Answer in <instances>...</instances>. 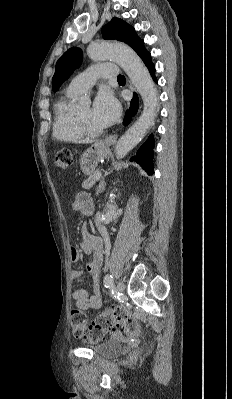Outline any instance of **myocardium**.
Returning <instances> with one entry per match:
<instances>
[{"mask_svg":"<svg viewBox=\"0 0 232 399\" xmlns=\"http://www.w3.org/2000/svg\"><path fill=\"white\" fill-rule=\"evenodd\" d=\"M75 122L78 130L84 137L88 139H98L107 133L106 129L103 131H94L90 129L86 122L79 115H75Z\"/></svg>","mask_w":232,"mask_h":399,"instance_id":"1","label":"myocardium"}]
</instances>
